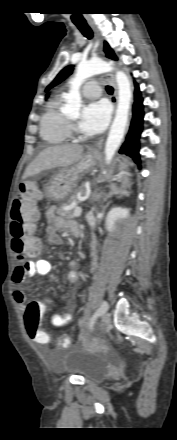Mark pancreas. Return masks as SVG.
Segmentation results:
<instances>
[{
	"mask_svg": "<svg viewBox=\"0 0 177 440\" xmlns=\"http://www.w3.org/2000/svg\"><path fill=\"white\" fill-rule=\"evenodd\" d=\"M67 206L68 204H63V206L57 210V214L65 219H74V211L78 206L73 209H65Z\"/></svg>",
	"mask_w": 177,
	"mask_h": 440,
	"instance_id": "1",
	"label": "pancreas"
}]
</instances>
